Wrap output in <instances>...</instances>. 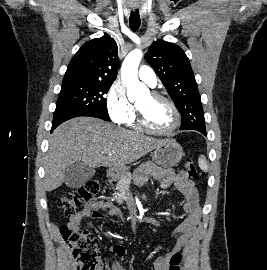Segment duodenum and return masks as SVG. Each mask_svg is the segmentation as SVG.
Instances as JSON below:
<instances>
[{
  "label": "duodenum",
  "instance_id": "1",
  "mask_svg": "<svg viewBox=\"0 0 267 270\" xmlns=\"http://www.w3.org/2000/svg\"><path fill=\"white\" fill-rule=\"evenodd\" d=\"M107 176H108L109 178H111V177L113 176V171H112V170H109V171L107 172Z\"/></svg>",
  "mask_w": 267,
  "mask_h": 270
}]
</instances>
